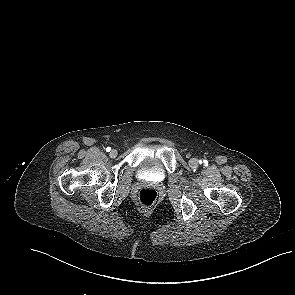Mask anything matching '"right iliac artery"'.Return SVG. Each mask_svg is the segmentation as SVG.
I'll use <instances>...</instances> for the list:
<instances>
[{
	"instance_id": "right-iliac-artery-1",
	"label": "right iliac artery",
	"mask_w": 295,
	"mask_h": 295,
	"mask_svg": "<svg viewBox=\"0 0 295 295\" xmlns=\"http://www.w3.org/2000/svg\"><path fill=\"white\" fill-rule=\"evenodd\" d=\"M106 151H107V152H110V151H111V148H110V147H107V148H106Z\"/></svg>"
}]
</instances>
